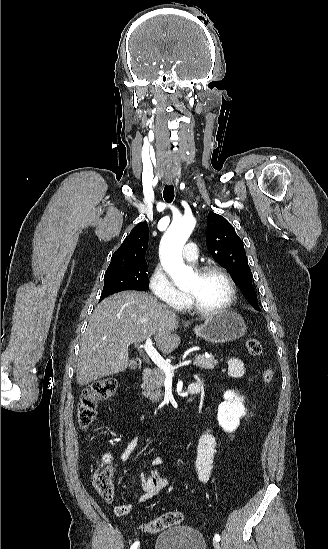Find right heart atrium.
I'll return each mask as SVG.
<instances>
[{
  "label": "right heart atrium",
  "mask_w": 328,
  "mask_h": 549,
  "mask_svg": "<svg viewBox=\"0 0 328 549\" xmlns=\"http://www.w3.org/2000/svg\"><path fill=\"white\" fill-rule=\"evenodd\" d=\"M148 288L155 303H173L179 296V290L158 261L150 268Z\"/></svg>",
  "instance_id": "d8ad5b80"
}]
</instances>
